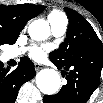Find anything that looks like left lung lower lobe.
Wrapping results in <instances>:
<instances>
[{"label":"left lung lower lobe","mask_w":103,"mask_h":103,"mask_svg":"<svg viewBox=\"0 0 103 103\" xmlns=\"http://www.w3.org/2000/svg\"><path fill=\"white\" fill-rule=\"evenodd\" d=\"M54 64L58 69L69 71L66 72L67 84L57 94L45 95L43 102L86 103L100 83L103 68V50L93 47L88 54L75 59L69 65Z\"/></svg>","instance_id":"0a47b994"}]
</instances>
